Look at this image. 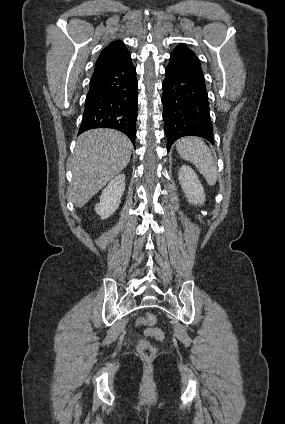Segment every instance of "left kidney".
Instances as JSON below:
<instances>
[{"label":"left kidney","instance_id":"1","mask_svg":"<svg viewBox=\"0 0 285 424\" xmlns=\"http://www.w3.org/2000/svg\"><path fill=\"white\" fill-rule=\"evenodd\" d=\"M178 179L189 203L195 205L204 203L205 193L203 186L191 167L182 165L178 172Z\"/></svg>","mask_w":285,"mask_h":424}]
</instances>
